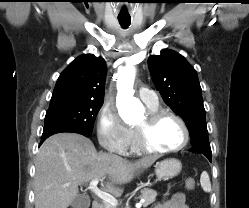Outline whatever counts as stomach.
I'll use <instances>...</instances> for the list:
<instances>
[{"label":"stomach","mask_w":249,"mask_h":208,"mask_svg":"<svg viewBox=\"0 0 249 208\" xmlns=\"http://www.w3.org/2000/svg\"><path fill=\"white\" fill-rule=\"evenodd\" d=\"M182 169V164L178 159H165L155 165V174L160 180H169L177 176Z\"/></svg>","instance_id":"0dacf381"}]
</instances>
